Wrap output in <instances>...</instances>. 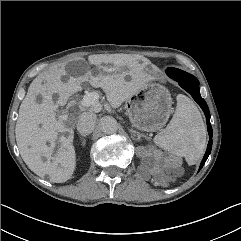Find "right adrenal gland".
I'll use <instances>...</instances> for the list:
<instances>
[{
	"label": "right adrenal gland",
	"mask_w": 241,
	"mask_h": 241,
	"mask_svg": "<svg viewBox=\"0 0 241 241\" xmlns=\"http://www.w3.org/2000/svg\"><path fill=\"white\" fill-rule=\"evenodd\" d=\"M81 136H82V137H84V138H86V137H87V135H86V134H81Z\"/></svg>",
	"instance_id": "1"
}]
</instances>
